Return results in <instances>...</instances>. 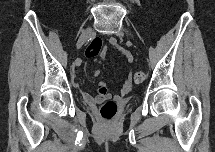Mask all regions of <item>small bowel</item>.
<instances>
[{
    "label": "small bowel",
    "mask_w": 215,
    "mask_h": 152,
    "mask_svg": "<svg viewBox=\"0 0 215 152\" xmlns=\"http://www.w3.org/2000/svg\"><path fill=\"white\" fill-rule=\"evenodd\" d=\"M109 42H110V45L116 51H118L120 54H122L126 58L128 63L133 62V55L131 54V52L129 50H127L126 48H124L123 46L119 45L115 38H110ZM105 53H106V48L103 49V56H105ZM79 65H80V62H77L76 66L78 67ZM99 75H100V71L96 70L94 72V76L97 77ZM72 77L75 78V73H73ZM131 87H132L131 78H130V76H128L122 85L120 96L123 97V96L127 95L131 91ZM81 94H82L83 98L85 99V101L88 102L89 104H95L98 101H100L108 96L107 87H106L105 82H99L97 84V95L96 96H93L83 90L81 91Z\"/></svg>",
    "instance_id": "small-bowel-1"
}]
</instances>
